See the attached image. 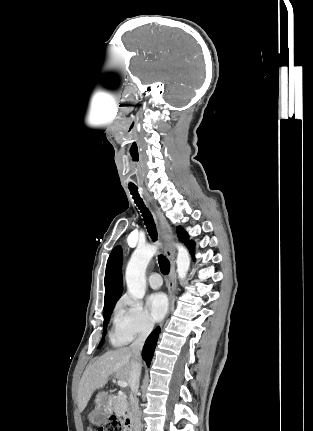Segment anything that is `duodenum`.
<instances>
[{
	"instance_id": "obj_1",
	"label": "duodenum",
	"mask_w": 313,
	"mask_h": 431,
	"mask_svg": "<svg viewBox=\"0 0 313 431\" xmlns=\"http://www.w3.org/2000/svg\"><path fill=\"white\" fill-rule=\"evenodd\" d=\"M124 426L126 431H137V421L133 413H129L125 416Z\"/></svg>"
}]
</instances>
